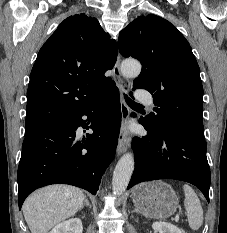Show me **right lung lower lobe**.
Masks as SVG:
<instances>
[{"label":"right lung lower lobe","instance_id":"right-lung-lower-lobe-1","mask_svg":"<svg viewBox=\"0 0 227 233\" xmlns=\"http://www.w3.org/2000/svg\"><path fill=\"white\" fill-rule=\"evenodd\" d=\"M93 134L80 138L79 126ZM121 122L119 91L114 86L82 112L25 136L18 167L19 209L37 188L70 184L96 194L103 172L114 159Z\"/></svg>","mask_w":227,"mask_h":233}]
</instances>
